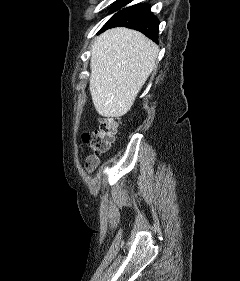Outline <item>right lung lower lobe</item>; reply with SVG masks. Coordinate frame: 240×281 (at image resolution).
<instances>
[{
	"instance_id": "1",
	"label": "right lung lower lobe",
	"mask_w": 240,
	"mask_h": 281,
	"mask_svg": "<svg viewBox=\"0 0 240 281\" xmlns=\"http://www.w3.org/2000/svg\"><path fill=\"white\" fill-rule=\"evenodd\" d=\"M131 1L132 0H126L121 2L115 7L114 11L121 9ZM117 26H124L138 30L154 42H157L159 21L150 11L148 5L137 4L120 10L102 27L101 30L104 31Z\"/></svg>"
}]
</instances>
